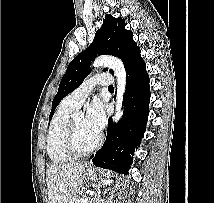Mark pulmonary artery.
I'll list each match as a JSON object with an SVG mask.
<instances>
[{"mask_svg": "<svg viewBox=\"0 0 214 203\" xmlns=\"http://www.w3.org/2000/svg\"><path fill=\"white\" fill-rule=\"evenodd\" d=\"M113 80L109 73H98L86 79L76 90L67 96L73 106L79 108L96 85L110 86Z\"/></svg>", "mask_w": 214, "mask_h": 203, "instance_id": "1", "label": "pulmonary artery"}]
</instances>
